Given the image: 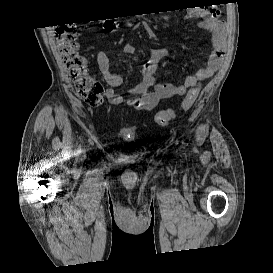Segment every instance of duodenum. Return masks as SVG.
Segmentation results:
<instances>
[{
    "label": "duodenum",
    "mask_w": 273,
    "mask_h": 273,
    "mask_svg": "<svg viewBox=\"0 0 273 273\" xmlns=\"http://www.w3.org/2000/svg\"><path fill=\"white\" fill-rule=\"evenodd\" d=\"M106 28H107L108 30H114V26H113L112 23H107Z\"/></svg>",
    "instance_id": "obj_1"
}]
</instances>
